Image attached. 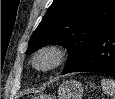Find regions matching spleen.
<instances>
[{
  "mask_svg": "<svg viewBox=\"0 0 115 99\" xmlns=\"http://www.w3.org/2000/svg\"><path fill=\"white\" fill-rule=\"evenodd\" d=\"M102 90L109 96L115 99V80L104 78L101 81Z\"/></svg>",
  "mask_w": 115,
  "mask_h": 99,
  "instance_id": "spleen-1",
  "label": "spleen"
}]
</instances>
